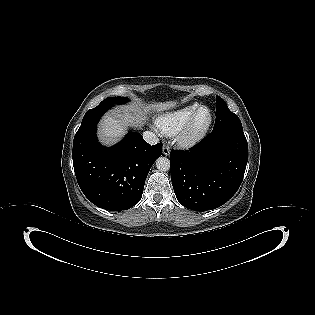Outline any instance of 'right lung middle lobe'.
I'll return each mask as SVG.
<instances>
[{"label":"right lung middle lobe","instance_id":"dd1d6c3e","mask_svg":"<svg viewBox=\"0 0 315 315\" xmlns=\"http://www.w3.org/2000/svg\"><path fill=\"white\" fill-rule=\"evenodd\" d=\"M127 98L125 97H108L103 100L99 105H114V104H121L127 102Z\"/></svg>","mask_w":315,"mask_h":315}]
</instances>
